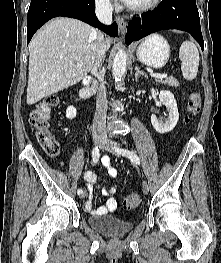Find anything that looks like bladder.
Masks as SVG:
<instances>
[{"instance_id": "bladder-1", "label": "bladder", "mask_w": 221, "mask_h": 263, "mask_svg": "<svg viewBox=\"0 0 221 263\" xmlns=\"http://www.w3.org/2000/svg\"><path fill=\"white\" fill-rule=\"evenodd\" d=\"M87 221L93 230L108 237L122 236L134 227L133 220H124L114 215H93Z\"/></svg>"}]
</instances>
